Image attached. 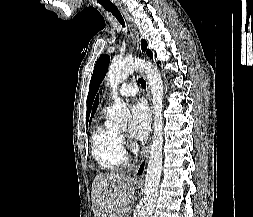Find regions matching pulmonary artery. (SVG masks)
<instances>
[{
	"label": "pulmonary artery",
	"instance_id": "obj_1",
	"mask_svg": "<svg viewBox=\"0 0 253 217\" xmlns=\"http://www.w3.org/2000/svg\"><path fill=\"white\" fill-rule=\"evenodd\" d=\"M137 93L138 87L134 82L123 83L118 89V94L122 97L134 96Z\"/></svg>",
	"mask_w": 253,
	"mask_h": 217
}]
</instances>
